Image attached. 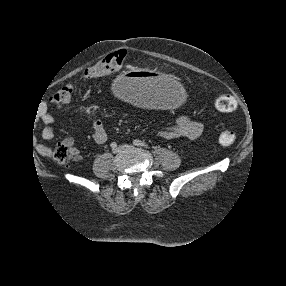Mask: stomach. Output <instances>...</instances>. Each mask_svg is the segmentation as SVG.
<instances>
[{
  "mask_svg": "<svg viewBox=\"0 0 286 286\" xmlns=\"http://www.w3.org/2000/svg\"><path fill=\"white\" fill-rule=\"evenodd\" d=\"M109 85V94L116 101H128L139 106L172 112L186 98L183 84L175 77L150 70L127 72Z\"/></svg>",
  "mask_w": 286,
  "mask_h": 286,
  "instance_id": "stomach-1",
  "label": "stomach"
}]
</instances>
